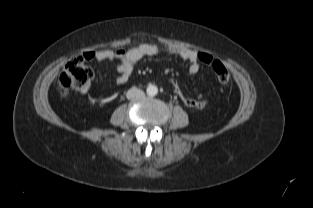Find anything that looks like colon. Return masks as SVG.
Here are the masks:
<instances>
[{
	"mask_svg": "<svg viewBox=\"0 0 313 208\" xmlns=\"http://www.w3.org/2000/svg\"><path fill=\"white\" fill-rule=\"evenodd\" d=\"M198 58L201 63L212 67L220 84L227 85L229 83L230 74L220 60L214 59L212 55L205 52H199ZM86 60L88 59L85 55H79L66 64L59 77V92L62 95L68 94L71 90H82L90 84L93 78V71L86 65ZM172 83L176 95L187 107L202 109L206 105L204 100H197L189 97L176 81H172Z\"/></svg>",
	"mask_w": 313,
	"mask_h": 208,
	"instance_id": "obj_1",
	"label": "colon"
}]
</instances>
